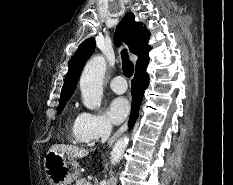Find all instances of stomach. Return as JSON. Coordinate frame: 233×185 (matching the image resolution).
<instances>
[{
    "label": "stomach",
    "instance_id": "stomach-1",
    "mask_svg": "<svg viewBox=\"0 0 233 185\" xmlns=\"http://www.w3.org/2000/svg\"><path fill=\"white\" fill-rule=\"evenodd\" d=\"M44 169L51 185H71L79 177L77 162L54 151L47 152Z\"/></svg>",
    "mask_w": 233,
    "mask_h": 185
}]
</instances>
